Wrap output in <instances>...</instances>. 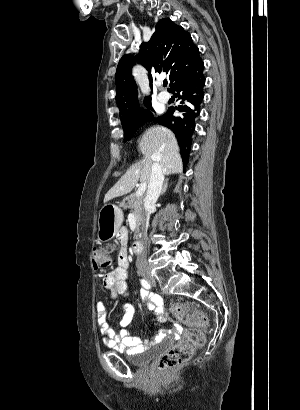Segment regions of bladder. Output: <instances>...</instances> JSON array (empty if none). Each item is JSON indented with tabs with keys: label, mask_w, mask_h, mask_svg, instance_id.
I'll return each mask as SVG.
<instances>
[{
	"label": "bladder",
	"mask_w": 300,
	"mask_h": 410,
	"mask_svg": "<svg viewBox=\"0 0 300 410\" xmlns=\"http://www.w3.org/2000/svg\"><path fill=\"white\" fill-rule=\"evenodd\" d=\"M154 353L153 349H147L141 354L127 356V361L134 366H144L151 361Z\"/></svg>",
	"instance_id": "31cf9c89"
}]
</instances>
